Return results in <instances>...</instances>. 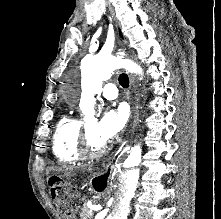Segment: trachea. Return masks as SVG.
Returning a JSON list of instances; mask_svg holds the SVG:
<instances>
[{"label":"trachea","mask_w":221,"mask_h":219,"mask_svg":"<svg viewBox=\"0 0 221 219\" xmlns=\"http://www.w3.org/2000/svg\"><path fill=\"white\" fill-rule=\"evenodd\" d=\"M119 84L123 87V88H128L129 86V78L126 74H120L119 78H118Z\"/></svg>","instance_id":"3493384b"}]
</instances>
